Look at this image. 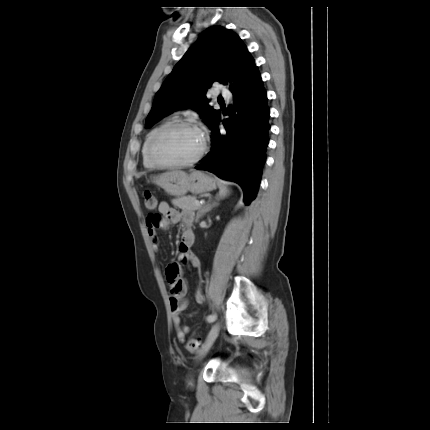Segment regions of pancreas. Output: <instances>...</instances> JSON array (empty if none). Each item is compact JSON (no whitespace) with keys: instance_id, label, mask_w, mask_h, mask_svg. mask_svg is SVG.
I'll list each match as a JSON object with an SVG mask.
<instances>
[{"instance_id":"cf45deb5","label":"pancreas","mask_w":430,"mask_h":430,"mask_svg":"<svg viewBox=\"0 0 430 430\" xmlns=\"http://www.w3.org/2000/svg\"><path fill=\"white\" fill-rule=\"evenodd\" d=\"M195 201L196 198L194 196H184L173 199L172 204L183 210L187 209L195 211L200 209V206H196Z\"/></svg>"}]
</instances>
